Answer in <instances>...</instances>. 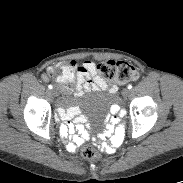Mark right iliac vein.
<instances>
[{
    "instance_id": "obj_1",
    "label": "right iliac vein",
    "mask_w": 183,
    "mask_h": 183,
    "mask_svg": "<svg viewBox=\"0 0 183 183\" xmlns=\"http://www.w3.org/2000/svg\"><path fill=\"white\" fill-rule=\"evenodd\" d=\"M52 93H53L54 96H58V94H59V93H58V90L55 89V88L52 90Z\"/></svg>"
}]
</instances>
